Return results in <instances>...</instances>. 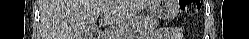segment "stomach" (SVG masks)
<instances>
[{"label":"stomach","mask_w":249,"mask_h":39,"mask_svg":"<svg viewBox=\"0 0 249 39\" xmlns=\"http://www.w3.org/2000/svg\"><path fill=\"white\" fill-rule=\"evenodd\" d=\"M152 14L164 20L174 18L178 13L177 0H154L150 6Z\"/></svg>","instance_id":"0dacf381"}]
</instances>
